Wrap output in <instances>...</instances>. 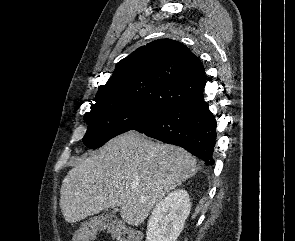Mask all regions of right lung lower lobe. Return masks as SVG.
<instances>
[{"label": "right lung lower lobe", "mask_w": 295, "mask_h": 241, "mask_svg": "<svg viewBox=\"0 0 295 241\" xmlns=\"http://www.w3.org/2000/svg\"><path fill=\"white\" fill-rule=\"evenodd\" d=\"M216 127L215 116L201 95L165 109L157 118L134 130L183 147L206 165H213Z\"/></svg>", "instance_id": "obj_1"}]
</instances>
